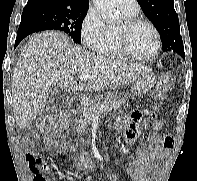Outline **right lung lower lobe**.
I'll list each match as a JSON object with an SVG mask.
<instances>
[{"label":"right lung lower lobe","mask_w":197,"mask_h":181,"mask_svg":"<svg viewBox=\"0 0 197 181\" xmlns=\"http://www.w3.org/2000/svg\"><path fill=\"white\" fill-rule=\"evenodd\" d=\"M43 31L40 27L26 23V22H21L18 32H17V37L15 40V47L29 34H32L34 32H39Z\"/></svg>","instance_id":"obj_1"}]
</instances>
